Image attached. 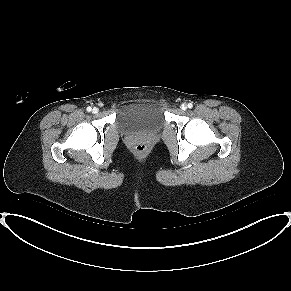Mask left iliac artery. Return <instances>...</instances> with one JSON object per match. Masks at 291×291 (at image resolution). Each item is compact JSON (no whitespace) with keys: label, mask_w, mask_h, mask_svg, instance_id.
Listing matches in <instances>:
<instances>
[{"label":"left iliac artery","mask_w":291,"mask_h":291,"mask_svg":"<svg viewBox=\"0 0 291 291\" xmlns=\"http://www.w3.org/2000/svg\"><path fill=\"white\" fill-rule=\"evenodd\" d=\"M188 107L189 108H192L193 107V104L192 103H188Z\"/></svg>","instance_id":"44dca946"}]
</instances>
